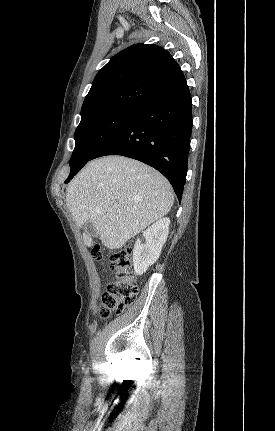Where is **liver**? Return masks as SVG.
Instances as JSON below:
<instances>
[{"instance_id":"1","label":"liver","mask_w":275,"mask_h":431,"mask_svg":"<svg viewBox=\"0 0 275 431\" xmlns=\"http://www.w3.org/2000/svg\"><path fill=\"white\" fill-rule=\"evenodd\" d=\"M174 203L169 181L140 161L123 156L93 160L71 181L66 204L78 227L90 221L111 250L165 216ZM85 230V229H84ZM84 243L94 242L85 231Z\"/></svg>"}]
</instances>
